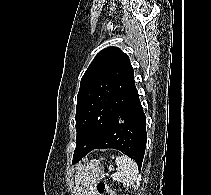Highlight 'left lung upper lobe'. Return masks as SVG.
<instances>
[{
    "label": "left lung upper lobe",
    "mask_w": 211,
    "mask_h": 195,
    "mask_svg": "<svg viewBox=\"0 0 211 195\" xmlns=\"http://www.w3.org/2000/svg\"><path fill=\"white\" fill-rule=\"evenodd\" d=\"M136 94L129 57L117 47L100 51L80 83L73 163L94 149L108 123Z\"/></svg>",
    "instance_id": "5c2ea615"
}]
</instances>
